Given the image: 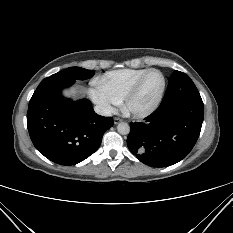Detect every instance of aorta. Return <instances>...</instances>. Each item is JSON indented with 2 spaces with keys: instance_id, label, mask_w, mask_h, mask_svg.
Returning <instances> with one entry per match:
<instances>
[{
  "instance_id": "1",
  "label": "aorta",
  "mask_w": 233,
  "mask_h": 233,
  "mask_svg": "<svg viewBox=\"0 0 233 233\" xmlns=\"http://www.w3.org/2000/svg\"><path fill=\"white\" fill-rule=\"evenodd\" d=\"M117 131L122 135H127L130 132V127L127 123L122 122L118 124Z\"/></svg>"
}]
</instances>
